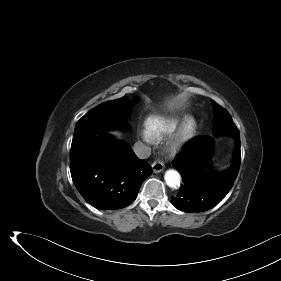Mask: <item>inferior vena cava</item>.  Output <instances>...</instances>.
<instances>
[{"label": "inferior vena cava", "mask_w": 281, "mask_h": 281, "mask_svg": "<svg viewBox=\"0 0 281 281\" xmlns=\"http://www.w3.org/2000/svg\"><path fill=\"white\" fill-rule=\"evenodd\" d=\"M133 150L140 159H147L151 154V148L141 142L135 143Z\"/></svg>", "instance_id": "obj_1"}]
</instances>
